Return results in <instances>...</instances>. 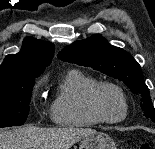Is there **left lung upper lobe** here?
<instances>
[{
  "label": "left lung upper lobe",
  "mask_w": 155,
  "mask_h": 149,
  "mask_svg": "<svg viewBox=\"0 0 155 149\" xmlns=\"http://www.w3.org/2000/svg\"><path fill=\"white\" fill-rule=\"evenodd\" d=\"M58 57L66 62L91 67L123 81L141 98L143 115L155 122V109L141 67L128 52L108 44L101 35H93L66 46Z\"/></svg>",
  "instance_id": "5c2ea615"
}]
</instances>
